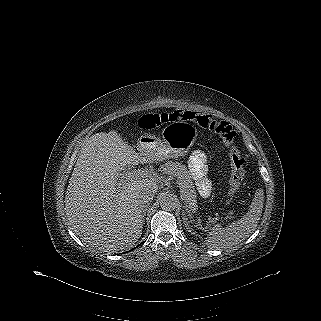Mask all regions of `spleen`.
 Listing matches in <instances>:
<instances>
[{"label": "spleen", "mask_w": 321, "mask_h": 321, "mask_svg": "<svg viewBox=\"0 0 321 321\" xmlns=\"http://www.w3.org/2000/svg\"><path fill=\"white\" fill-rule=\"evenodd\" d=\"M264 193L256 192L249 211L241 219L227 227L214 225L207 237V245L212 248L226 249L236 245L253 233L262 215Z\"/></svg>", "instance_id": "spleen-1"}]
</instances>
